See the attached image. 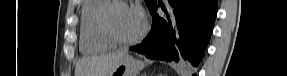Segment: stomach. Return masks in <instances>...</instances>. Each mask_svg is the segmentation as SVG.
Returning a JSON list of instances; mask_svg holds the SVG:
<instances>
[{
  "label": "stomach",
  "instance_id": "1",
  "mask_svg": "<svg viewBox=\"0 0 287 76\" xmlns=\"http://www.w3.org/2000/svg\"><path fill=\"white\" fill-rule=\"evenodd\" d=\"M142 68L141 62L129 55H125L109 76H137Z\"/></svg>",
  "mask_w": 287,
  "mask_h": 76
}]
</instances>
